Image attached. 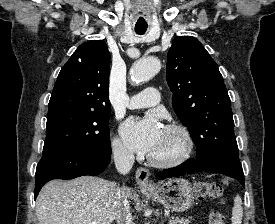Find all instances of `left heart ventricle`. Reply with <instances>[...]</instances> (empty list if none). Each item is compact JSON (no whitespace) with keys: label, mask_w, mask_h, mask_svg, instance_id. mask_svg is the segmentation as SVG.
Returning a JSON list of instances; mask_svg holds the SVG:
<instances>
[{"label":"left heart ventricle","mask_w":275,"mask_h":224,"mask_svg":"<svg viewBox=\"0 0 275 224\" xmlns=\"http://www.w3.org/2000/svg\"><path fill=\"white\" fill-rule=\"evenodd\" d=\"M182 149V142L177 134L163 130L162 138L150 155L157 159H167L176 156Z\"/></svg>","instance_id":"1"}]
</instances>
